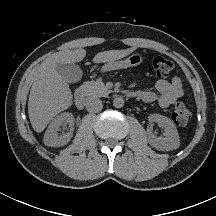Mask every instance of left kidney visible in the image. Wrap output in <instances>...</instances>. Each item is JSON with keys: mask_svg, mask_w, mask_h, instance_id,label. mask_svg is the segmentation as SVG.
<instances>
[{"mask_svg": "<svg viewBox=\"0 0 216 216\" xmlns=\"http://www.w3.org/2000/svg\"><path fill=\"white\" fill-rule=\"evenodd\" d=\"M149 123H158L164 128V138L156 137L150 128L147 129L149 144L161 151H169L179 148V134L175 124L167 117L160 114H150Z\"/></svg>", "mask_w": 216, "mask_h": 216, "instance_id": "left-kidney-1", "label": "left kidney"}]
</instances>
